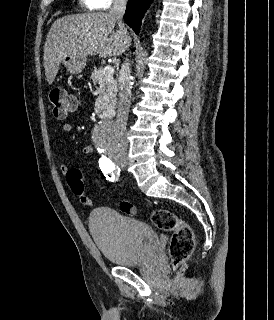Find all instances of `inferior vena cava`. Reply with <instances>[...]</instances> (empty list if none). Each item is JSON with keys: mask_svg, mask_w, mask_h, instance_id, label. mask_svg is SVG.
<instances>
[{"mask_svg": "<svg viewBox=\"0 0 274 320\" xmlns=\"http://www.w3.org/2000/svg\"><path fill=\"white\" fill-rule=\"evenodd\" d=\"M126 2L127 0H113L112 8H110L109 10L111 18H114L119 28V30H117V34H119L120 38H123L125 42V50H127L131 42L128 30L123 24ZM129 66L130 64L126 58L124 64H122L121 66V70L118 76L119 98L117 106V118L119 124H122L123 128H125L127 124L128 114L130 110L131 72ZM124 148H126V146H124Z\"/></svg>", "mask_w": 274, "mask_h": 320, "instance_id": "602c4592", "label": "inferior vena cava"}]
</instances>
